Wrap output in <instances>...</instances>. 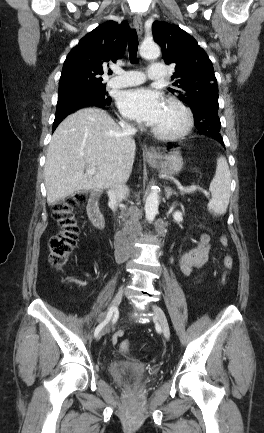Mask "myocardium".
Segmentation results:
<instances>
[{
  "instance_id": "obj_1",
  "label": "myocardium",
  "mask_w": 264,
  "mask_h": 433,
  "mask_svg": "<svg viewBox=\"0 0 264 433\" xmlns=\"http://www.w3.org/2000/svg\"><path fill=\"white\" fill-rule=\"evenodd\" d=\"M167 105L177 109L183 115V124L180 128L174 131H163L156 128H152L151 132L159 139L167 141H175L185 137L192 129L194 125V116L191 109L186 106L183 102L177 99H169Z\"/></svg>"
}]
</instances>
